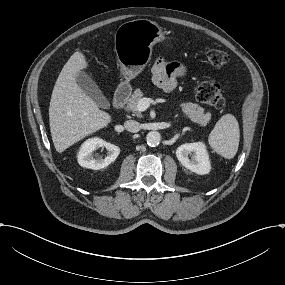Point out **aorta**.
<instances>
[{
  "mask_svg": "<svg viewBox=\"0 0 285 285\" xmlns=\"http://www.w3.org/2000/svg\"><path fill=\"white\" fill-rule=\"evenodd\" d=\"M146 141L149 146H158L161 141V135L157 131H150L146 136Z\"/></svg>",
  "mask_w": 285,
  "mask_h": 285,
  "instance_id": "1",
  "label": "aorta"
}]
</instances>
